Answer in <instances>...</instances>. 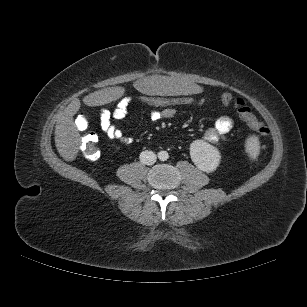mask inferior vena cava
Returning a JSON list of instances; mask_svg holds the SVG:
<instances>
[{
    "mask_svg": "<svg viewBox=\"0 0 307 307\" xmlns=\"http://www.w3.org/2000/svg\"><path fill=\"white\" fill-rule=\"evenodd\" d=\"M140 162L145 165H153L156 162V154L153 151L145 150L140 153Z\"/></svg>",
    "mask_w": 307,
    "mask_h": 307,
    "instance_id": "obj_1",
    "label": "inferior vena cava"
}]
</instances>
